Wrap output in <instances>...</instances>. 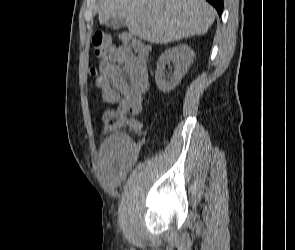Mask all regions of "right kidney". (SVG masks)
I'll return each mask as SVG.
<instances>
[{
	"mask_svg": "<svg viewBox=\"0 0 295 250\" xmlns=\"http://www.w3.org/2000/svg\"><path fill=\"white\" fill-rule=\"evenodd\" d=\"M194 57V51L186 44H180L165 50L158 59L155 71V81L158 89L164 93L173 90L185 76ZM170 62L174 64V72L167 80L164 71L166 64Z\"/></svg>",
	"mask_w": 295,
	"mask_h": 250,
	"instance_id": "obj_1",
	"label": "right kidney"
}]
</instances>
